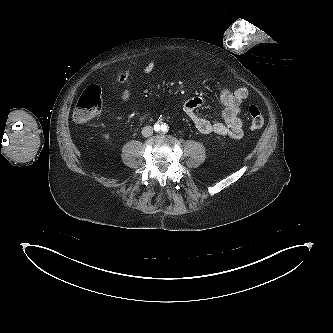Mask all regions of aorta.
Masks as SVG:
<instances>
[{
  "mask_svg": "<svg viewBox=\"0 0 333 333\" xmlns=\"http://www.w3.org/2000/svg\"><path fill=\"white\" fill-rule=\"evenodd\" d=\"M155 128H156V131H159V132H166V130H167V126L164 124H162L161 126L156 125Z\"/></svg>",
  "mask_w": 333,
  "mask_h": 333,
  "instance_id": "aorta-1",
  "label": "aorta"
}]
</instances>
